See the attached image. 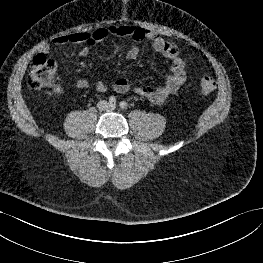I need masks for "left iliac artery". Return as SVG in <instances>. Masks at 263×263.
<instances>
[{
	"label": "left iliac artery",
	"instance_id": "44dca946",
	"mask_svg": "<svg viewBox=\"0 0 263 263\" xmlns=\"http://www.w3.org/2000/svg\"><path fill=\"white\" fill-rule=\"evenodd\" d=\"M119 106H120L122 109H126L127 103H126L125 101H122V102H120Z\"/></svg>",
	"mask_w": 263,
	"mask_h": 263
}]
</instances>
